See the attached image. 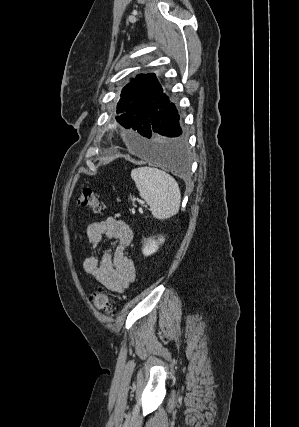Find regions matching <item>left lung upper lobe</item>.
Masks as SVG:
<instances>
[{
    "label": "left lung upper lobe",
    "mask_w": 299,
    "mask_h": 427,
    "mask_svg": "<svg viewBox=\"0 0 299 427\" xmlns=\"http://www.w3.org/2000/svg\"><path fill=\"white\" fill-rule=\"evenodd\" d=\"M167 96L155 74H140L127 84L117 105V121L127 129L141 131L142 110L156 107L165 102ZM140 119V120H138Z\"/></svg>",
    "instance_id": "left-lung-upper-lobe-1"
}]
</instances>
